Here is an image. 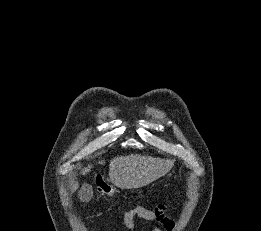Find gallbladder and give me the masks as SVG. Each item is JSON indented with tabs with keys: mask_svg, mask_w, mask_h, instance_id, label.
<instances>
[{
	"mask_svg": "<svg viewBox=\"0 0 261 231\" xmlns=\"http://www.w3.org/2000/svg\"><path fill=\"white\" fill-rule=\"evenodd\" d=\"M91 194H92V190H91V188L89 187V186H84V187H82V189L80 190V192H79V196H80V199L81 200H87L86 199V196H91Z\"/></svg>",
	"mask_w": 261,
	"mask_h": 231,
	"instance_id": "bac80fb5",
	"label": "gallbladder"
}]
</instances>
